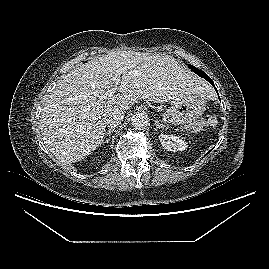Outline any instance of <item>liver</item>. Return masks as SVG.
I'll use <instances>...</instances> for the list:
<instances>
[{"label":"liver","mask_w":269,"mask_h":269,"mask_svg":"<svg viewBox=\"0 0 269 269\" xmlns=\"http://www.w3.org/2000/svg\"><path fill=\"white\" fill-rule=\"evenodd\" d=\"M119 70V93L103 98ZM192 93L207 97L210 89L172 56L111 52L57 81L42 110L43 141L60 162H78L101 145L111 111L129 110L138 98L165 103Z\"/></svg>","instance_id":"liver-1"}]
</instances>
